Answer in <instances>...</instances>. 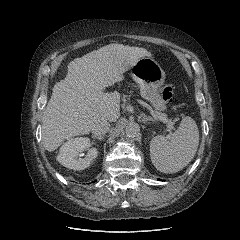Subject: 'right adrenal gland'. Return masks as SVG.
Listing matches in <instances>:
<instances>
[{
    "label": "right adrenal gland",
    "instance_id": "right-adrenal-gland-1",
    "mask_svg": "<svg viewBox=\"0 0 240 240\" xmlns=\"http://www.w3.org/2000/svg\"><path fill=\"white\" fill-rule=\"evenodd\" d=\"M93 139H97V140H103L104 139V136H96V135H93L92 136Z\"/></svg>",
    "mask_w": 240,
    "mask_h": 240
}]
</instances>
